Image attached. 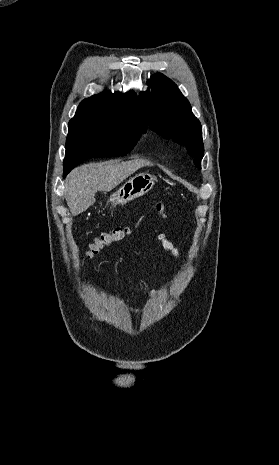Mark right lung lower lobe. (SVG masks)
I'll use <instances>...</instances> for the list:
<instances>
[{
  "instance_id": "obj_1",
  "label": "right lung lower lobe",
  "mask_w": 279,
  "mask_h": 465,
  "mask_svg": "<svg viewBox=\"0 0 279 465\" xmlns=\"http://www.w3.org/2000/svg\"><path fill=\"white\" fill-rule=\"evenodd\" d=\"M71 170H72V169H71ZM71 170L64 171V175H63V177L65 178V177H66V175H67V174H68V173H69Z\"/></svg>"
}]
</instances>
